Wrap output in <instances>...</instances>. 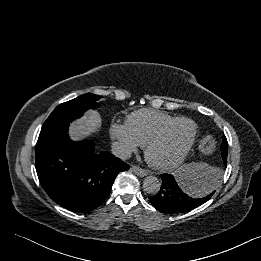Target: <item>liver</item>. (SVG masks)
<instances>
[{"mask_svg":"<svg viewBox=\"0 0 261 261\" xmlns=\"http://www.w3.org/2000/svg\"><path fill=\"white\" fill-rule=\"evenodd\" d=\"M102 119L97 111L90 110L82 118L70 126V134L74 140H80L97 132L101 127Z\"/></svg>","mask_w":261,"mask_h":261,"instance_id":"obj_1","label":"liver"}]
</instances>
